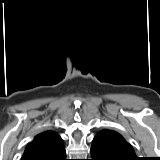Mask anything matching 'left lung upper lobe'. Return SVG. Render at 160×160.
<instances>
[{
  "label": "left lung upper lobe",
  "instance_id": "5c2ea615",
  "mask_svg": "<svg viewBox=\"0 0 160 160\" xmlns=\"http://www.w3.org/2000/svg\"><path fill=\"white\" fill-rule=\"evenodd\" d=\"M99 134H103L105 137L108 138L110 143L120 150V152L123 154L124 157L130 159V160H139V158L136 156L133 147L130 143H128L121 134H119L116 131L109 130V129H103L99 132Z\"/></svg>",
  "mask_w": 160,
  "mask_h": 160
}]
</instances>
